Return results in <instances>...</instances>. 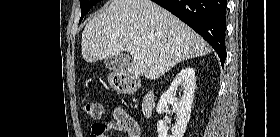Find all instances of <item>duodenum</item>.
<instances>
[{
	"label": "duodenum",
	"mask_w": 280,
	"mask_h": 137,
	"mask_svg": "<svg viewBox=\"0 0 280 137\" xmlns=\"http://www.w3.org/2000/svg\"><path fill=\"white\" fill-rule=\"evenodd\" d=\"M154 94L148 93L144 95L141 103V109L144 115L150 116L153 111Z\"/></svg>",
	"instance_id": "1"
}]
</instances>
